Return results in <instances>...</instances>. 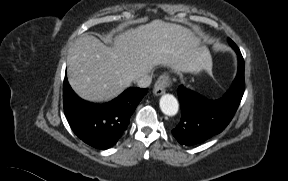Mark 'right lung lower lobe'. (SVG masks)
Instances as JSON below:
<instances>
[{"instance_id":"obj_1","label":"right lung lower lobe","mask_w":288,"mask_h":181,"mask_svg":"<svg viewBox=\"0 0 288 181\" xmlns=\"http://www.w3.org/2000/svg\"><path fill=\"white\" fill-rule=\"evenodd\" d=\"M148 89L129 88L104 104H89L80 99L64 80L65 116L73 132L86 144L107 149L117 143L129 125V119Z\"/></svg>"}]
</instances>
